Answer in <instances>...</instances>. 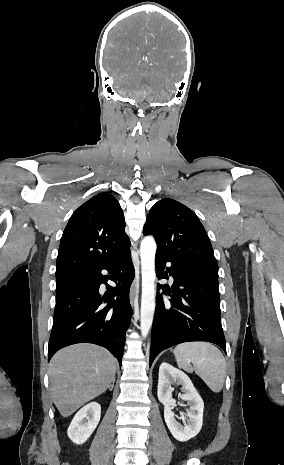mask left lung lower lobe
Returning a JSON list of instances; mask_svg holds the SVG:
<instances>
[{
    "mask_svg": "<svg viewBox=\"0 0 284 465\" xmlns=\"http://www.w3.org/2000/svg\"><path fill=\"white\" fill-rule=\"evenodd\" d=\"M172 266L163 271L166 262ZM156 272L159 279H168L170 272L174 283L157 284L164 293L157 294L152 326L150 366L164 349L189 341H207L220 346L226 353V343L221 326L218 278L200 270L172 262L156 253Z\"/></svg>",
    "mask_w": 284,
    "mask_h": 465,
    "instance_id": "obj_1",
    "label": "left lung lower lobe"
}]
</instances>
